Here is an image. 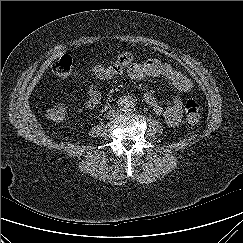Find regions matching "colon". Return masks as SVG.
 Listing matches in <instances>:
<instances>
[{
  "instance_id": "colon-1",
  "label": "colon",
  "mask_w": 243,
  "mask_h": 243,
  "mask_svg": "<svg viewBox=\"0 0 243 243\" xmlns=\"http://www.w3.org/2000/svg\"><path fill=\"white\" fill-rule=\"evenodd\" d=\"M133 64L132 54L125 52L118 55L114 61L108 64H92L90 71L100 79H111L121 75L125 70L129 71ZM72 69L73 59L68 54L61 56L52 66L53 72L60 77L69 76L72 73ZM184 111L189 125L198 124L200 121L201 107L195 99L189 98L185 101ZM66 113L67 108L64 104H57L46 109V117L54 122H62L66 117Z\"/></svg>"
}]
</instances>
